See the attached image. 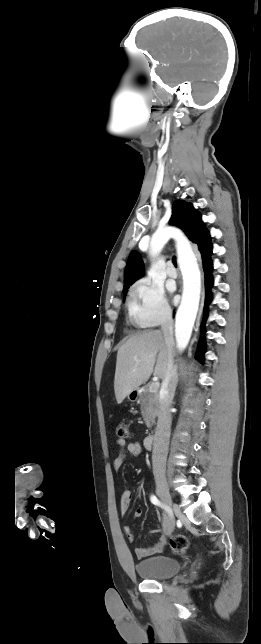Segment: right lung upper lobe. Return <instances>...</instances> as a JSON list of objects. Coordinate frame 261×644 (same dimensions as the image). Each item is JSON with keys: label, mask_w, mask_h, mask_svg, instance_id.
Returning <instances> with one entry per match:
<instances>
[{"label": "right lung upper lobe", "mask_w": 261, "mask_h": 644, "mask_svg": "<svg viewBox=\"0 0 261 644\" xmlns=\"http://www.w3.org/2000/svg\"><path fill=\"white\" fill-rule=\"evenodd\" d=\"M169 223L181 228L189 239L198 245L202 259L212 254L210 234L201 220V215L191 203L178 200L172 206ZM143 274V262L136 251L129 255L124 274V289L139 279Z\"/></svg>", "instance_id": "right-lung-upper-lobe-1"}]
</instances>
